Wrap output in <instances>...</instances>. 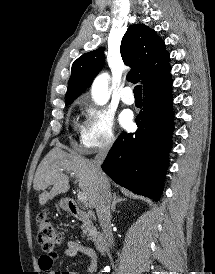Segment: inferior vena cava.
I'll return each mask as SVG.
<instances>
[{"label": "inferior vena cava", "instance_id": "602c4592", "mask_svg": "<svg viewBox=\"0 0 215 274\" xmlns=\"http://www.w3.org/2000/svg\"><path fill=\"white\" fill-rule=\"evenodd\" d=\"M111 141L108 143V146L100 151L94 161H93V168L97 175L98 180V195L96 200V212L102 227V230L105 234L110 245L113 244V234L110 226L111 221V212H110V203H111V192L109 185L107 183L106 177L102 172L101 165L105 160V157L108 153V150L111 146Z\"/></svg>", "mask_w": 215, "mask_h": 274}]
</instances>
